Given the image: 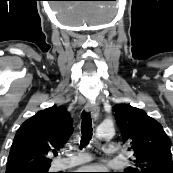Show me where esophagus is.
<instances>
[{
	"label": "esophagus",
	"mask_w": 173,
	"mask_h": 173,
	"mask_svg": "<svg viewBox=\"0 0 173 173\" xmlns=\"http://www.w3.org/2000/svg\"><path fill=\"white\" fill-rule=\"evenodd\" d=\"M85 111L90 113L94 120L99 116V105L94 101H88L85 105Z\"/></svg>",
	"instance_id": "esophagus-1"
}]
</instances>
